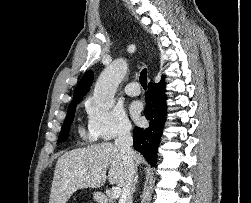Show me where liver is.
<instances>
[{
	"label": "liver",
	"mask_w": 251,
	"mask_h": 203,
	"mask_svg": "<svg viewBox=\"0 0 251 203\" xmlns=\"http://www.w3.org/2000/svg\"><path fill=\"white\" fill-rule=\"evenodd\" d=\"M143 162V157L135 154L136 165ZM125 175L121 153L113 143L71 150L57 160L49 203H66L78 189L99 188L106 179L110 184L122 187Z\"/></svg>",
	"instance_id": "liver-1"
}]
</instances>
